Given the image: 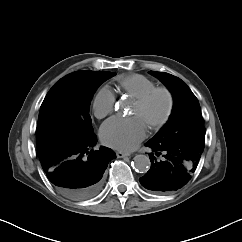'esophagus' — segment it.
Instances as JSON below:
<instances>
[{
  "label": "esophagus",
  "mask_w": 242,
  "mask_h": 242,
  "mask_svg": "<svg viewBox=\"0 0 242 242\" xmlns=\"http://www.w3.org/2000/svg\"><path fill=\"white\" fill-rule=\"evenodd\" d=\"M116 155H117L118 158H124V157L130 156V154L124 153V152H120V151L116 152Z\"/></svg>",
  "instance_id": "34e87169"
}]
</instances>
